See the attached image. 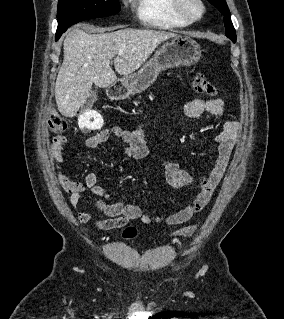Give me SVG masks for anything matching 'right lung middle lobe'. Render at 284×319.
I'll use <instances>...</instances> for the list:
<instances>
[{
	"label": "right lung middle lobe",
	"instance_id": "dd1d6c3e",
	"mask_svg": "<svg viewBox=\"0 0 284 319\" xmlns=\"http://www.w3.org/2000/svg\"><path fill=\"white\" fill-rule=\"evenodd\" d=\"M120 11L118 0H59L56 38L71 25L83 20L109 16Z\"/></svg>",
	"mask_w": 284,
	"mask_h": 319
}]
</instances>
